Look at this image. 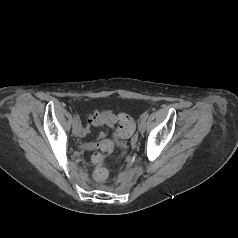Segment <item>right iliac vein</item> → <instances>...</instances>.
Returning a JSON list of instances; mask_svg holds the SVG:
<instances>
[{
    "mask_svg": "<svg viewBox=\"0 0 238 238\" xmlns=\"http://www.w3.org/2000/svg\"><path fill=\"white\" fill-rule=\"evenodd\" d=\"M72 132L75 136H80L82 132V127L80 123L74 124L72 128Z\"/></svg>",
    "mask_w": 238,
    "mask_h": 238,
    "instance_id": "obj_1",
    "label": "right iliac vein"
}]
</instances>
